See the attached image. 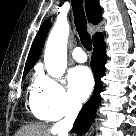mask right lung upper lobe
Wrapping results in <instances>:
<instances>
[{
	"label": "right lung upper lobe",
	"mask_w": 136,
	"mask_h": 136,
	"mask_svg": "<svg viewBox=\"0 0 136 136\" xmlns=\"http://www.w3.org/2000/svg\"><path fill=\"white\" fill-rule=\"evenodd\" d=\"M85 9H86L88 21L90 23L97 25L102 20L101 18L102 9L99 6L98 0H86ZM49 25H50V22L46 21L40 27L39 32L37 33L35 40L33 42V45L31 47V50L29 52L25 69H24V74L28 73L29 70L35 64V62L37 61L43 46L44 39L48 32ZM102 36L103 35L101 33L97 32L95 35H93V42Z\"/></svg>",
	"instance_id": "1"
}]
</instances>
